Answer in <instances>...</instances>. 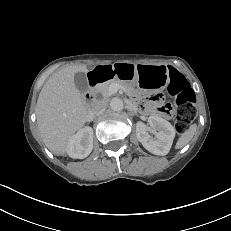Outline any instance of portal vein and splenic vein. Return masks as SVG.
<instances>
[{"mask_svg": "<svg viewBox=\"0 0 231 231\" xmlns=\"http://www.w3.org/2000/svg\"><path fill=\"white\" fill-rule=\"evenodd\" d=\"M118 88H119V87H118L117 85H112V90H113V91H117Z\"/></svg>", "mask_w": 231, "mask_h": 231, "instance_id": "obj_1", "label": "portal vein and splenic vein"}]
</instances>
